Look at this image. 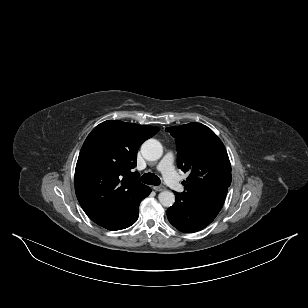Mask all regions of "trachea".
<instances>
[{
	"mask_svg": "<svg viewBox=\"0 0 308 308\" xmlns=\"http://www.w3.org/2000/svg\"><path fill=\"white\" fill-rule=\"evenodd\" d=\"M140 181L149 184V185H159L160 184V179L156 175L152 173H146L144 174L141 178Z\"/></svg>",
	"mask_w": 308,
	"mask_h": 308,
	"instance_id": "trachea-1",
	"label": "trachea"
}]
</instances>
